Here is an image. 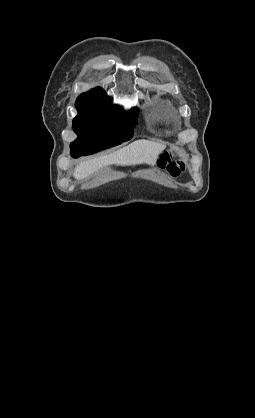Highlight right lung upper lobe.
I'll use <instances>...</instances> for the list:
<instances>
[{
  "label": "right lung upper lobe",
  "instance_id": "1",
  "mask_svg": "<svg viewBox=\"0 0 255 418\" xmlns=\"http://www.w3.org/2000/svg\"><path fill=\"white\" fill-rule=\"evenodd\" d=\"M104 93L105 92H104V90L102 88H95V89H92V90H90L88 92H84L81 95H87V94H104Z\"/></svg>",
  "mask_w": 255,
  "mask_h": 418
}]
</instances>
